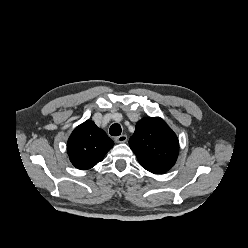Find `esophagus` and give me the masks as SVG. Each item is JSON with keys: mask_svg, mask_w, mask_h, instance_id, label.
Instances as JSON below:
<instances>
[{"mask_svg": "<svg viewBox=\"0 0 248 248\" xmlns=\"http://www.w3.org/2000/svg\"><path fill=\"white\" fill-rule=\"evenodd\" d=\"M114 140L116 143H125L127 141V136L123 134L118 137H115Z\"/></svg>", "mask_w": 248, "mask_h": 248, "instance_id": "esophagus-1", "label": "esophagus"}]
</instances>
